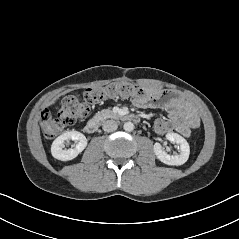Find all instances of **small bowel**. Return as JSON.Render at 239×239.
<instances>
[{
    "mask_svg": "<svg viewBox=\"0 0 239 239\" xmlns=\"http://www.w3.org/2000/svg\"><path fill=\"white\" fill-rule=\"evenodd\" d=\"M146 94L135 97L133 104L137 108H158L165 110L171 120V132H176L183 137H189L192 130L199 127L200 120L195 108L186 100L177 96L170 90H161L147 87Z\"/></svg>",
    "mask_w": 239,
    "mask_h": 239,
    "instance_id": "1",
    "label": "small bowel"
}]
</instances>
